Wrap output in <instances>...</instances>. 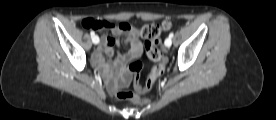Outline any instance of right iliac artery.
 Segmentation results:
<instances>
[{"label":"right iliac artery","mask_w":276,"mask_h":120,"mask_svg":"<svg viewBox=\"0 0 276 120\" xmlns=\"http://www.w3.org/2000/svg\"><path fill=\"white\" fill-rule=\"evenodd\" d=\"M90 35L92 37V40L94 43H98L99 42V38L95 39V33L93 31L90 32Z\"/></svg>","instance_id":"right-iliac-artery-1"}]
</instances>
